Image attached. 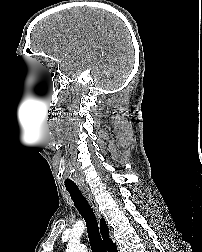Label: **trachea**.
<instances>
[{
  "label": "trachea",
  "mask_w": 202,
  "mask_h": 252,
  "mask_svg": "<svg viewBox=\"0 0 202 252\" xmlns=\"http://www.w3.org/2000/svg\"><path fill=\"white\" fill-rule=\"evenodd\" d=\"M66 189L69 192L75 207L86 222L87 233L92 251L106 252L101 235L99 233L97 219L87 199L84 197L78 187H67Z\"/></svg>",
  "instance_id": "obj_1"
}]
</instances>
